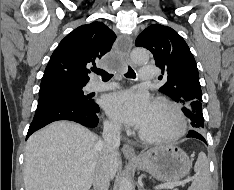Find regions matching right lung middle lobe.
Segmentation results:
<instances>
[{"label": "right lung middle lobe", "mask_w": 234, "mask_h": 190, "mask_svg": "<svg viewBox=\"0 0 234 190\" xmlns=\"http://www.w3.org/2000/svg\"><path fill=\"white\" fill-rule=\"evenodd\" d=\"M85 84H77L60 79H52L41 82L38 105L53 98H63L78 101L84 105H92L93 99L82 91Z\"/></svg>", "instance_id": "obj_1"}]
</instances>
